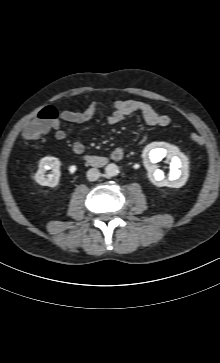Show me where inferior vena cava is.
<instances>
[{
  "label": "inferior vena cava",
  "mask_w": 220,
  "mask_h": 363,
  "mask_svg": "<svg viewBox=\"0 0 220 363\" xmlns=\"http://www.w3.org/2000/svg\"><path fill=\"white\" fill-rule=\"evenodd\" d=\"M100 176L101 174L96 168H91L87 171V178L89 181H96Z\"/></svg>",
  "instance_id": "inferior-vena-cava-1"
}]
</instances>
